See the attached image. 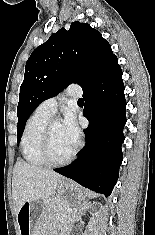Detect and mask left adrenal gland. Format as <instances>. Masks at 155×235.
Returning <instances> with one entry per match:
<instances>
[{
  "label": "left adrenal gland",
  "instance_id": "obj_1",
  "mask_svg": "<svg viewBox=\"0 0 155 235\" xmlns=\"http://www.w3.org/2000/svg\"><path fill=\"white\" fill-rule=\"evenodd\" d=\"M84 208H87V206H86L85 204H83L82 206H80L79 209L77 210V211H78L77 214H78L79 216H81V215L83 214V209H84Z\"/></svg>",
  "mask_w": 155,
  "mask_h": 235
}]
</instances>
